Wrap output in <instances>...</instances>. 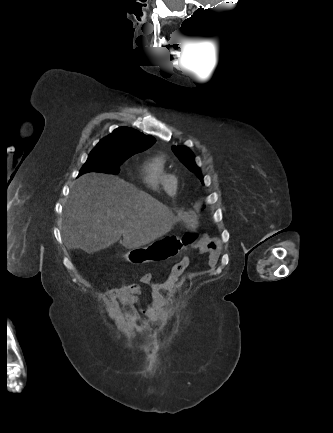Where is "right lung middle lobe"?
<instances>
[{"instance_id":"dd1d6c3e","label":"right lung middle lobe","mask_w":333,"mask_h":433,"mask_svg":"<svg viewBox=\"0 0 333 433\" xmlns=\"http://www.w3.org/2000/svg\"><path fill=\"white\" fill-rule=\"evenodd\" d=\"M132 154L116 153L106 148H94L88 156L87 161L81 168L79 175L86 172L97 171L110 174H117L120 171V166Z\"/></svg>"}]
</instances>
